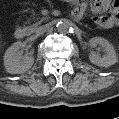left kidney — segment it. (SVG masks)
I'll return each mask as SVG.
<instances>
[{"mask_svg":"<svg viewBox=\"0 0 119 119\" xmlns=\"http://www.w3.org/2000/svg\"><path fill=\"white\" fill-rule=\"evenodd\" d=\"M89 43L91 47L100 45L102 48H104L106 53L103 57H100L98 53L91 52L89 55V60L91 63L101 67H109L117 62V55L114 46L105 38L94 37L89 41Z\"/></svg>","mask_w":119,"mask_h":119,"instance_id":"1","label":"left kidney"}]
</instances>
